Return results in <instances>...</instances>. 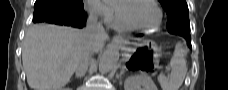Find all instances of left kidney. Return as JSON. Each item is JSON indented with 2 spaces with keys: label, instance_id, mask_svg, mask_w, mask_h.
I'll list each match as a JSON object with an SVG mask.
<instances>
[{
  "label": "left kidney",
  "instance_id": "left-kidney-1",
  "mask_svg": "<svg viewBox=\"0 0 228 90\" xmlns=\"http://www.w3.org/2000/svg\"><path fill=\"white\" fill-rule=\"evenodd\" d=\"M158 90L151 78L140 75V76H130L124 82L125 90Z\"/></svg>",
  "mask_w": 228,
  "mask_h": 90
}]
</instances>
